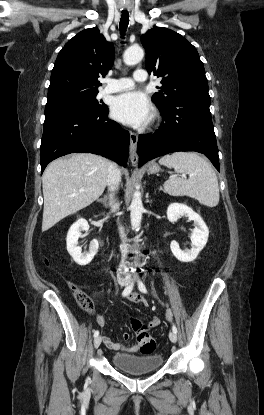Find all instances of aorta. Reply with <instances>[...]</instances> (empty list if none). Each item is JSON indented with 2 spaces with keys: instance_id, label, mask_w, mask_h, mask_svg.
<instances>
[{
  "instance_id": "obj_1",
  "label": "aorta",
  "mask_w": 264,
  "mask_h": 415,
  "mask_svg": "<svg viewBox=\"0 0 264 415\" xmlns=\"http://www.w3.org/2000/svg\"><path fill=\"white\" fill-rule=\"evenodd\" d=\"M144 57V51L139 46L129 47L124 55L123 59L126 65H135L140 62ZM143 212V204L141 199V193L136 191L133 194V198L130 204V219L133 229L138 230L141 224Z\"/></svg>"
}]
</instances>
